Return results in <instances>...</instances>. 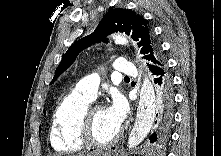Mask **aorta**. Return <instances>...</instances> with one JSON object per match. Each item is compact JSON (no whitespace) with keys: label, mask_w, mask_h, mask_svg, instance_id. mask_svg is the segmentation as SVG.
I'll return each mask as SVG.
<instances>
[{"label":"aorta","mask_w":221,"mask_h":156,"mask_svg":"<svg viewBox=\"0 0 221 156\" xmlns=\"http://www.w3.org/2000/svg\"><path fill=\"white\" fill-rule=\"evenodd\" d=\"M113 40L116 44H121L125 41V38L121 35H118L114 36ZM144 88L145 90L142 99V104L139 110V116L136 119L130 137L128 139L129 148H134L137 145H139L147 137V135L150 132V129L152 128V96L154 90L148 81L145 82Z\"/></svg>","instance_id":"obj_1"}]
</instances>
